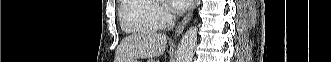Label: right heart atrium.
<instances>
[{
    "label": "right heart atrium",
    "mask_w": 331,
    "mask_h": 62,
    "mask_svg": "<svg viewBox=\"0 0 331 62\" xmlns=\"http://www.w3.org/2000/svg\"><path fill=\"white\" fill-rule=\"evenodd\" d=\"M153 18L157 25L164 26L172 20L173 15L168 8L159 6L155 7Z\"/></svg>",
    "instance_id": "d8ad5b80"
}]
</instances>
